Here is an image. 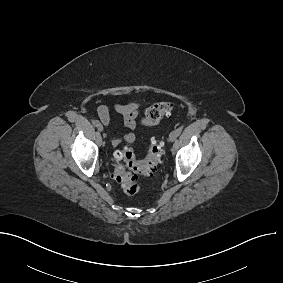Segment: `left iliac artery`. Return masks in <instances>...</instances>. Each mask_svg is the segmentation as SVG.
Listing matches in <instances>:
<instances>
[{
	"instance_id": "1",
	"label": "left iliac artery",
	"mask_w": 283,
	"mask_h": 283,
	"mask_svg": "<svg viewBox=\"0 0 283 283\" xmlns=\"http://www.w3.org/2000/svg\"><path fill=\"white\" fill-rule=\"evenodd\" d=\"M175 131H176L177 136H179L181 134V132H182V128L179 127Z\"/></svg>"
}]
</instances>
